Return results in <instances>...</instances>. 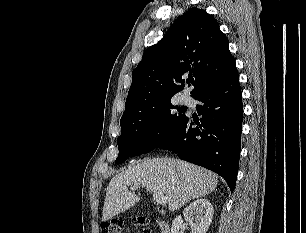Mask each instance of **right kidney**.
Here are the masks:
<instances>
[{
	"label": "right kidney",
	"instance_id": "right-kidney-1",
	"mask_svg": "<svg viewBox=\"0 0 306 233\" xmlns=\"http://www.w3.org/2000/svg\"><path fill=\"white\" fill-rule=\"evenodd\" d=\"M214 208L209 200L197 199L183 211V217L191 226V233H206L213 219ZM183 224L181 216H177L171 227V233H181Z\"/></svg>",
	"mask_w": 306,
	"mask_h": 233
}]
</instances>
